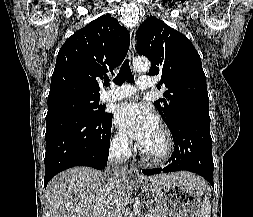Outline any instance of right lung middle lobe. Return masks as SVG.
<instances>
[{
	"instance_id": "right-lung-middle-lobe-1",
	"label": "right lung middle lobe",
	"mask_w": 253,
	"mask_h": 217,
	"mask_svg": "<svg viewBox=\"0 0 253 217\" xmlns=\"http://www.w3.org/2000/svg\"><path fill=\"white\" fill-rule=\"evenodd\" d=\"M66 115H83L101 119L108 113L99 105V97H68L48 102L46 121Z\"/></svg>"
}]
</instances>
